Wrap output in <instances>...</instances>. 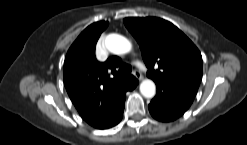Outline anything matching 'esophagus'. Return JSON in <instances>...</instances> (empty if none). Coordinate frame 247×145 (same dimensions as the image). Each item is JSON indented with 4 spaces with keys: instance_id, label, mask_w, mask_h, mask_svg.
<instances>
[{
    "instance_id": "1",
    "label": "esophagus",
    "mask_w": 247,
    "mask_h": 145,
    "mask_svg": "<svg viewBox=\"0 0 247 145\" xmlns=\"http://www.w3.org/2000/svg\"><path fill=\"white\" fill-rule=\"evenodd\" d=\"M133 74H134V76H135L139 81H141V80L143 79V76H142V74L140 73V71L135 70V71L133 72Z\"/></svg>"
}]
</instances>
